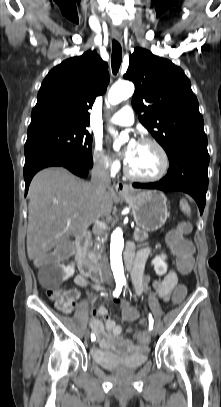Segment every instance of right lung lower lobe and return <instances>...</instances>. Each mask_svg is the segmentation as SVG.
Masks as SVG:
<instances>
[{"label":"right lung lower lobe","mask_w":221,"mask_h":407,"mask_svg":"<svg viewBox=\"0 0 221 407\" xmlns=\"http://www.w3.org/2000/svg\"><path fill=\"white\" fill-rule=\"evenodd\" d=\"M24 180L25 196L33 176L41 169L51 166H62L79 177H86L92 164H85L69 154L56 149H39L25 156Z\"/></svg>","instance_id":"right-lung-lower-lobe-1"}]
</instances>
